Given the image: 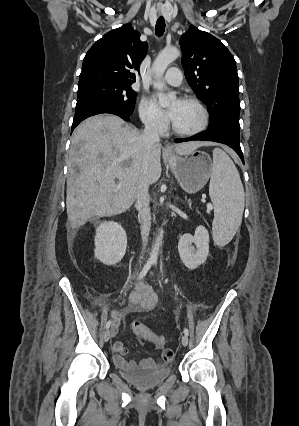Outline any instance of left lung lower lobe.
<instances>
[{"mask_svg":"<svg viewBox=\"0 0 299 426\" xmlns=\"http://www.w3.org/2000/svg\"><path fill=\"white\" fill-rule=\"evenodd\" d=\"M193 140L214 141L226 144L234 149V151L239 155L242 162L244 163V158L240 147V133L225 128L208 129L201 134L189 138L175 139V142L180 143Z\"/></svg>","mask_w":299,"mask_h":426,"instance_id":"left-lung-lower-lobe-1","label":"left lung lower lobe"}]
</instances>
